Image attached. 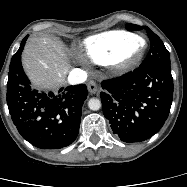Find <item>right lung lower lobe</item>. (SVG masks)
<instances>
[{
    "mask_svg": "<svg viewBox=\"0 0 187 187\" xmlns=\"http://www.w3.org/2000/svg\"><path fill=\"white\" fill-rule=\"evenodd\" d=\"M28 36L10 63L7 104L13 123L22 137L41 149H59L77 137L82 106L88 91L85 84L40 92L30 87L21 65V54Z\"/></svg>",
    "mask_w": 187,
    "mask_h": 187,
    "instance_id": "right-lung-lower-lobe-1",
    "label": "right lung lower lobe"
}]
</instances>
